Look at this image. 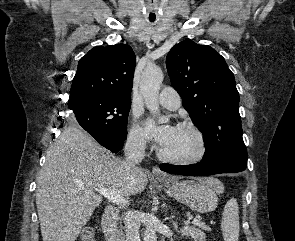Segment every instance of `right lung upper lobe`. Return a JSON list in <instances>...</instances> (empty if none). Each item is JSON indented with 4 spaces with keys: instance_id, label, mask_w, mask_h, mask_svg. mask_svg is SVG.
<instances>
[{
    "instance_id": "obj_1",
    "label": "right lung upper lobe",
    "mask_w": 295,
    "mask_h": 241,
    "mask_svg": "<svg viewBox=\"0 0 295 241\" xmlns=\"http://www.w3.org/2000/svg\"><path fill=\"white\" fill-rule=\"evenodd\" d=\"M135 54L126 44L97 46L79 60L69 104L87 99L131 101Z\"/></svg>"
}]
</instances>
